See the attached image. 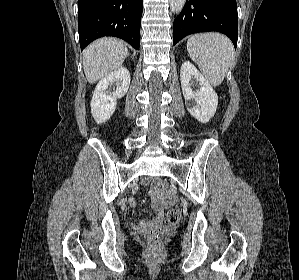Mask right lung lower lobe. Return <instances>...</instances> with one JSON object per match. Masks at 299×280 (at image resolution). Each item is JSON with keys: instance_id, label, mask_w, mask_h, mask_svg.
Instances as JSON below:
<instances>
[{"instance_id": "98d812e1", "label": "right lung lower lobe", "mask_w": 299, "mask_h": 280, "mask_svg": "<svg viewBox=\"0 0 299 280\" xmlns=\"http://www.w3.org/2000/svg\"><path fill=\"white\" fill-rule=\"evenodd\" d=\"M143 0H78V32L83 50L92 41L114 36L140 46Z\"/></svg>"}]
</instances>
